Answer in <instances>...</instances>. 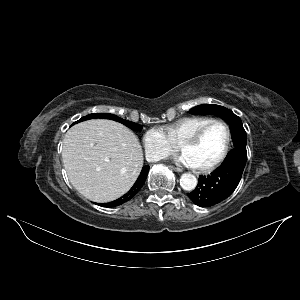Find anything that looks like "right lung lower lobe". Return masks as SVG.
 Here are the masks:
<instances>
[{"label":"right lung lower lobe","mask_w":300,"mask_h":300,"mask_svg":"<svg viewBox=\"0 0 300 300\" xmlns=\"http://www.w3.org/2000/svg\"><path fill=\"white\" fill-rule=\"evenodd\" d=\"M148 171H149V166L148 165L144 166L141 171V174L139 175L135 184L128 191V193L123 195L121 198H119L113 202L99 204V205L103 206V207H115V206L121 205V204L129 201L130 199H132L142 188V186L147 178Z\"/></svg>","instance_id":"98d812e1"}]
</instances>
